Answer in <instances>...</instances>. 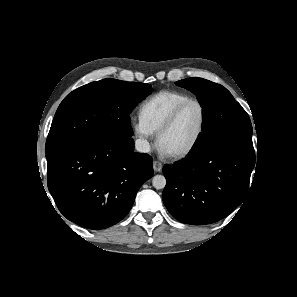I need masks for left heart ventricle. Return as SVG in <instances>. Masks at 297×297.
<instances>
[{"mask_svg":"<svg viewBox=\"0 0 297 297\" xmlns=\"http://www.w3.org/2000/svg\"><path fill=\"white\" fill-rule=\"evenodd\" d=\"M201 121V111L196 103L188 104L177 121L161 138L160 146L167 153H175L186 148L194 139Z\"/></svg>","mask_w":297,"mask_h":297,"instance_id":"1","label":"left heart ventricle"}]
</instances>
